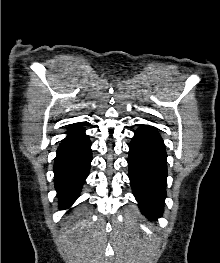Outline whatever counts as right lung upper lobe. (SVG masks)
I'll return each instance as SVG.
<instances>
[{"label":"right lung upper lobe","mask_w":220,"mask_h":263,"mask_svg":"<svg viewBox=\"0 0 220 263\" xmlns=\"http://www.w3.org/2000/svg\"><path fill=\"white\" fill-rule=\"evenodd\" d=\"M78 124H74L68 132H74V131H79V130H83V128H80L79 126H77Z\"/></svg>","instance_id":"right-lung-upper-lobe-1"}]
</instances>
